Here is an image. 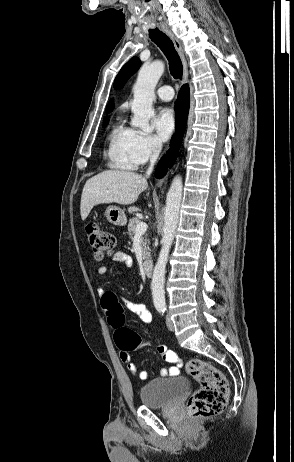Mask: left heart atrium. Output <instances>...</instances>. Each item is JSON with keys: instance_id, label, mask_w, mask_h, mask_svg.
<instances>
[{"instance_id": "obj_1", "label": "left heart atrium", "mask_w": 294, "mask_h": 462, "mask_svg": "<svg viewBox=\"0 0 294 462\" xmlns=\"http://www.w3.org/2000/svg\"><path fill=\"white\" fill-rule=\"evenodd\" d=\"M154 127L160 141H167L175 127L174 113L169 108H162L154 118Z\"/></svg>"}]
</instances>
